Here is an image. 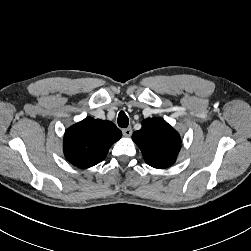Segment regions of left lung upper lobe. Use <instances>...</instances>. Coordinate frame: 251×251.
<instances>
[{
    "instance_id": "5c2ea615",
    "label": "left lung upper lobe",
    "mask_w": 251,
    "mask_h": 251,
    "mask_svg": "<svg viewBox=\"0 0 251 251\" xmlns=\"http://www.w3.org/2000/svg\"><path fill=\"white\" fill-rule=\"evenodd\" d=\"M145 162L158 169L171 166L180 151L181 139L171 125L160 118L142 121V128L132 135Z\"/></svg>"
}]
</instances>
